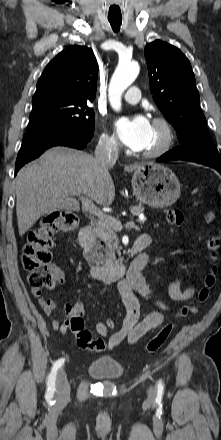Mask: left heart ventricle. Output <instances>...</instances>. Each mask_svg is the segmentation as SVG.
<instances>
[{
	"mask_svg": "<svg viewBox=\"0 0 221 440\" xmlns=\"http://www.w3.org/2000/svg\"><path fill=\"white\" fill-rule=\"evenodd\" d=\"M163 138V133L160 128L151 125V132L147 146L143 150H149L158 146Z\"/></svg>",
	"mask_w": 221,
	"mask_h": 440,
	"instance_id": "obj_1",
	"label": "left heart ventricle"
}]
</instances>
